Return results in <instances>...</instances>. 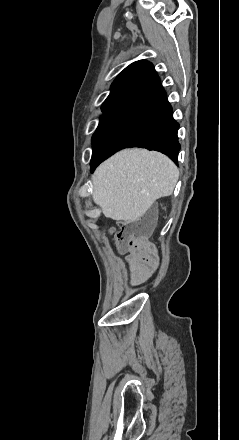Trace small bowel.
I'll list each match as a JSON object with an SVG mask.
<instances>
[{
    "label": "small bowel",
    "instance_id": "small-bowel-1",
    "mask_svg": "<svg viewBox=\"0 0 239 440\" xmlns=\"http://www.w3.org/2000/svg\"><path fill=\"white\" fill-rule=\"evenodd\" d=\"M126 261L130 268V283H143L153 273L159 263V255L153 247L143 244L127 249Z\"/></svg>",
    "mask_w": 239,
    "mask_h": 440
}]
</instances>
